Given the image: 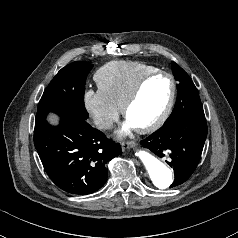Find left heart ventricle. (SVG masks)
I'll return each instance as SVG.
<instances>
[{
    "label": "left heart ventricle",
    "mask_w": 238,
    "mask_h": 238,
    "mask_svg": "<svg viewBox=\"0 0 238 238\" xmlns=\"http://www.w3.org/2000/svg\"><path fill=\"white\" fill-rule=\"evenodd\" d=\"M170 90V82L165 76H157L149 80L136 102L129 108L127 119L135 128L151 124L164 110Z\"/></svg>",
    "instance_id": "left-heart-ventricle-1"
}]
</instances>
